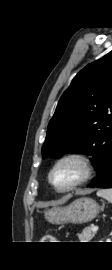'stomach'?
<instances>
[{
	"instance_id": "obj_1",
	"label": "stomach",
	"mask_w": 112,
	"mask_h": 270,
	"mask_svg": "<svg viewBox=\"0 0 112 270\" xmlns=\"http://www.w3.org/2000/svg\"><path fill=\"white\" fill-rule=\"evenodd\" d=\"M98 203L88 197L76 199L66 207L55 206L44 212L45 219L53 224H83L92 221L101 211Z\"/></svg>"
}]
</instances>
